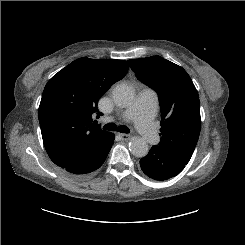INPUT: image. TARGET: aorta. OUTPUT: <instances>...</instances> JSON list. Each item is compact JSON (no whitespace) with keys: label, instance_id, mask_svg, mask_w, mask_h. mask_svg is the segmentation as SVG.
<instances>
[{"label":"aorta","instance_id":"obj_1","mask_svg":"<svg viewBox=\"0 0 245 245\" xmlns=\"http://www.w3.org/2000/svg\"><path fill=\"white\" fill-rule=\"evenodd\" d=\"M113 100L120 107H127L134 99V89L126 84L117 85L112 92ZM129 150L135 157H144L148 154L149 146L141 137H132L129 144Z\"/></svg>","mask_w":245,"mask_h":245}]
</instances>
